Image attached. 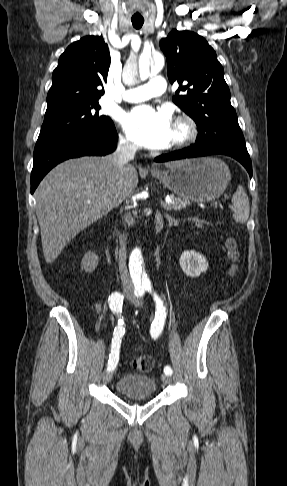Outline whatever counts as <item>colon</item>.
Listing matches in <instances>:
<instances>
[{
	"instance_id": "colon-1",
	"label": "colon",
	"mask_w": 287,
	"mask_h": 486,
	"mask_svg": "<svg viewBox=\"0 0 287 486\" xmlns=\"http://www.w3.org/2000/svg\"><path fill=\"white\" fill-rule=\"evenodd\" d=\"M226 247L230 259L236 262L238 259L237 246L234 239L230 238L227 240ZM233 272V269L231 270ZM132 367L138 372H149L154 366V361L150 356H138L135 357L132 362Z\"/></svg>"
}]
</instances>
